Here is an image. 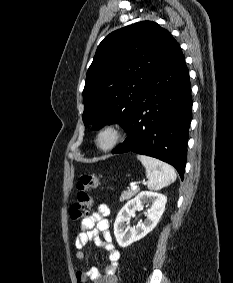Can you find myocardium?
I'll return each instance as SVG.
<instances>
[{"instance_id": "myocardium-1", "label": "myocardium", "mask_w": 233, "mask_h": 283, "mask_svg": "<svg viewBox=\"0 0 233 283\" xmlns=\"http://www.w3.org/2000/svg\"><path fill=\"white\" fill-rule=\"evenodd\" d=\"M126 135L125 127L119 122H109L101 126L95 134L94 144L102 152L115 149ZM104 138H107L104 141Z\"/></svg>"}]
</instances>
